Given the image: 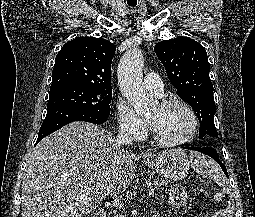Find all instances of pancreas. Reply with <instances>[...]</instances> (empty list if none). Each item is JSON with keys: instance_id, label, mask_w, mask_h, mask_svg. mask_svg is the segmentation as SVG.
<instances>
[{"instance_id": "cf45deb5", "label": "pancreas", "mask_w": 255, "mask_h": 217, "mask_svg": "<svg viewBox=\"0 0 255 217\" xmlns=\"http://www.w3.org/2000/svg\"><path fill=\"white\" fill-rule=\"evenodd\" d=\"M154 184H155L157 190H162L169 184V181L168 180H155ZM115 217H123V216L117 214V215H115Z\"/></svg>"}]
</instances>
